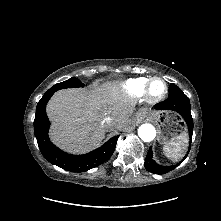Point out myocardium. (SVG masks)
I'll list each match as a JSON object with an SVG mask.
<instances>
[{
    "mask_svg": "<svg viewBox=\"0 0 221 221\" xmlns=\"http://www.w3.org/2000/svg\"><path fill=\"white\" fill-rule=\"evenodd\" d=\"M156 81H160L163 84V87H164V90L160 95H153L152 92H151L152 84ZM167 94H168V85H167V82L163 78H161V77H152V78L149 79V81L146 85L145 91H144V97H145V100L147 102H149V103L160 102L163 99H165Z\"/></svg>",
    "mask_w": 221,
    "mask_h": 221,
    "instance_id": "myocardium-1",
    "label": "myocardium"
}]
</instances>
